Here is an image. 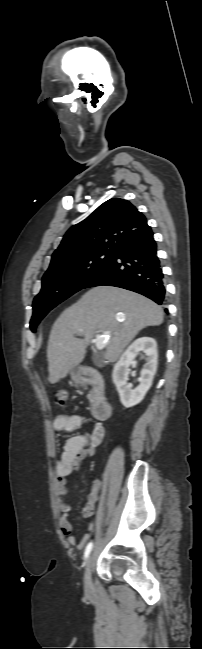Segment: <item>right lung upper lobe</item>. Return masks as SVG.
I'll list each match as a JSON object with an SVG mask.
<instances>
[{
  "label": "right lung upper lobe",
  "mask_w": 202,
  "mask_h": 649,
  "mask_svg": "<svg viewBox=\"0 0 202 649\" xmlns=\"http://www.w3.org/2000/svg\"><path fill=\"white\" fill-rule=\"evenodd\" d=\"M149 229L145 216L129 201L110 199L67 231L60 246L53 253L46 273L87 252H115L122 244Z\"/></svg>",
  "instance_id": "cb5924a9"
}]
</instances>
